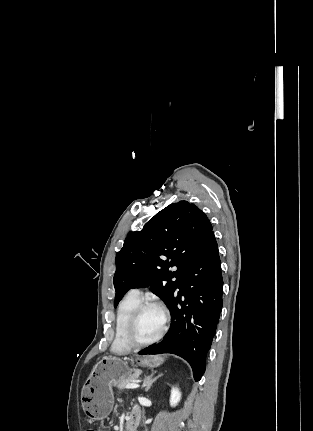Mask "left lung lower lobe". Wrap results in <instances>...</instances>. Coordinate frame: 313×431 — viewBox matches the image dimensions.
<instances>
[{
    "mask_svg": "<svg viewBox=\"0 0 313 431\" xmlns=\"http://www.w3.org/2000/svg\"><path fill=\"white\" fill-rule=\"evenodd\" d=\"M177 288L179 291L167 305L171 314L169 332L161 342L139 354H176L191 365L194 379L199 381L222 310L223 279L213 230Z\"/></svg>",
    "mask_w": 313,
    "mask_h": 431,
    "instance_id": "left-lung-lower-lobe-1",
    "label": "left lung lower lobe"
}]
</instances>
